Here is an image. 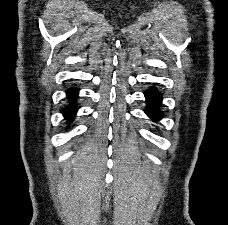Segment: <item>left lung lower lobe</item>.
I'll list each match as a JSON object with an SVG mask.
<instances>
[{"mask_svg":"<svg viewBox=\"0 0 228 225\" xmlns=\"http://www.w3.org/2000/svg\"><path fill=\"white\" fill-rule=\"evenodd\" d=\"M147 99V109L145 112L153 120H159L162 117V113L158 110V107L162 101V95L156 88H152L145 93Z\"/></svg>","mask_w":228,"mask_h":225,"instance_id":"obj_1","label":"left lung lower lobe"}]
</instances>
